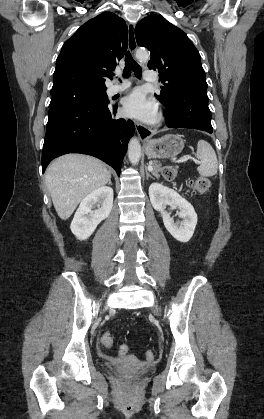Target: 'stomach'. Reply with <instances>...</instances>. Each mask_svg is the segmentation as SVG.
<instances>
[{
	"label": "stomach",
	"mask_w": 264,
	"mask_h": 419,
	"mask_svg": "<svg viewBox=\"0 0 264 419\" xmlns=\"http://www.w3.org/2000/svg\"><path fill=\"white\" fill-rule=\"evenodd\" d=\"M184 142L181 136L168 134L159 139L148 140L145 144V152L149 158L175 157L183 150Z\"/></svg>",
	"instance_id": "0dacf381"
}]
</instances>
